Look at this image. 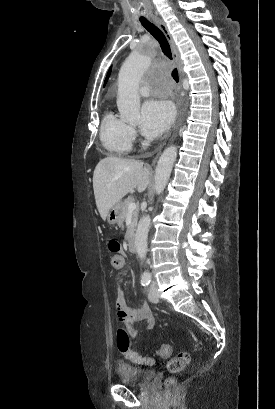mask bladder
Segmentation results:
<instances>
[{"instance_id": "obj_1", "label": "bladder", "mask_w": 275, "mask_h": 409, "mask_svg": "<svg viewBox=\"0 0 275 409\" xmlns=\"http://www.w3.org/2000/svg\"><path fill=\"white\" fill-rule=\"evenodd\" d=\"M158 372L129 363H119L116 376L120 384L134 387L150 386L156 379Z\"/></svg>"}]
</instances>
